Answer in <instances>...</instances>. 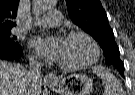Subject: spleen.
Masks as SVG:
<instances>
[{"label": "spleen", "instance_id": "3e777b00", "mask_svg": "<svg viewBox=\"0 0 135 95\" xmlns=\"http://www.w3.org/2000/svg\"><path fill=\"white\" fill-rule=\"evenodd\" d=\"M92 72L102 80L103 95H125L120 81L110 71L101 66H95L92 68Z\"/></svg>", "mask_w": 135, "mask_h": 95}]
</instances>
